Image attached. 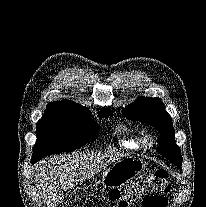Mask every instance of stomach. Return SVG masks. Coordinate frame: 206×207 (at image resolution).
I'll return each mask as SVG.
<instances>
[{"label":"stomach","mask_w":206,"mask_h":207,"mask_svg":"<svg viewBox=\"0 0 206 207\" xmlns=\"http://www.w3.org/2000/svg\"><path fill=\"white\" fill-rule=\"evenodd\" d=\"M145 167L146 163L140 158H123L108 168L102 177L101 183L109 189L122 187L141 174Z\"/></svg>","instance_id":"0dacf381"}]
</instances>
